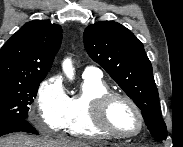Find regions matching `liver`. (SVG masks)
<instances>
[{
    "mask_svg": "<svg viewBox=\"0 0 183 147\" xmlns=\"http://www.w3.org/2000/svg\"><path fill=\"white\" fill-rule=\"evenodd\" d=\"M98 142H83L68 139H47L30 137L24 134L0 138V147H96Z\"/></svg>",
    "mask_w": 183,
    "mask_h": 147,
    "instance_id": "1",
    "label": "liver"
}]
</instances>
